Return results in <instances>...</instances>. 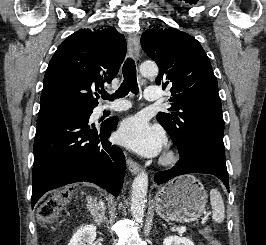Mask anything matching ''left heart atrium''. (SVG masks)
Returning <instances> with one entry per match:
<instances>
[{
	"mask_svg": "<svg viewBox=\"0 0 266 245\" xmlns=\"http://www.w3.org/2000/svg\"><path fill=\"white\" fill-rule=\"evenodd\" d=\"M118 136L123 144L147 156L158 153L164 144L162 131L139 116L124 120Z\"/></svg>",
	"mask_w": 266,
	"mask_h": 245,
	"instance_id": "left-heart-atrium-1",
	"label": "left heart atrium"
}]
</instances>
